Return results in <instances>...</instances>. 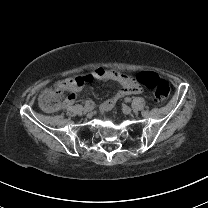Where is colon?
<instances>
[{
	"mask_svg": "<svg viewBox=\"0 0 208 208\" xmlns=\"http://www.w3.org/2000/svg\"><path fill=\"white\" fill-rule=\"evenodd\" d=\"M136 79L153 93L157 101H164L168 97L170 86L167 81L157 73L143 71L136 75ZM73 91V81L70 79H63L55 83L50 89L43 91L42 95L38 98V107L43 112L55 111L59 107L60 99L71 95Z\"/></svg>",
	"mask_w": 208,
	"mask_h": 208,
	"instance_id": "5ec220e1",
	"label": "colon"
}]
</instances>
